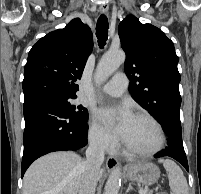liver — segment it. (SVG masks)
Instances as JSON below:
<instances>
[{"mask_svg":"<svg viewBox=\"0 0 201 194\" xmlns=\"http://www.w3.org/2000/svg\"><path fill=\"white\" fill-rule=\"evenodd\" d=\"M83 162L74 152H54L39 158L24 175L23 194H77ZM103 172L98 171L97 180Z\"/></svg>","mask_w":201,"mask_h":194,"instance_id":"6515ba94","label":"liver"}]
</instances>
